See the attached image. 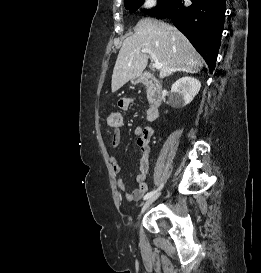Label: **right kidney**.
I'll return each instance as SVG.
<instances>
[{"mask_svg":"<svg viewBox=\"0 0 261 273\" xmlns=\"http://www.w3.org/2000/svg\"><path fill=\"white\" fill-rule=\"evenodd\" d=\"M201 87L199 80L193 77H182L171 87L172 98L183 106L189 104L198 94Z\"/></svg>","mask_w":261,"mask_h":273,"instance_id":"obj_1","label":"right kidney"}]
</instances>
